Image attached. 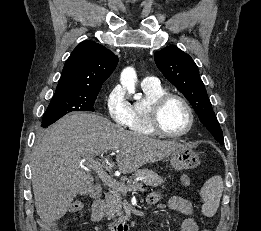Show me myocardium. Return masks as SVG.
I'll return each instance as SVG.
<instances>
[{
  "label": "myocardium",
  "mask_w": 261,
  "mask_h": 231,
  "mask_svg": "<svg viewBox=\"0 0 261 231\" xmlns=\"http://www.w3.org/2000/svg\"><path fill=\"white\" fill-rule=\"evenodd\" d=\"M171 99L180 100L186 107L188 117H189V122H188L187 127L183 131L177 132V133H172V132L166 131L163 128L162 123H161L162 109L165 106V104ZM149 122H150L151 127L154 129V131L157 134L167 136V137L177 138V137H182L191 131V129L193 128L194 122H195V116H194V111H193V108H192L190 102L184 96L177 94V93L166 92L163 95H161L160 97H158L150 106Z\"/></svg>",
  "instance_id": "1"
}]
</instances>
